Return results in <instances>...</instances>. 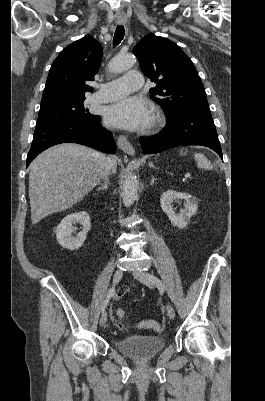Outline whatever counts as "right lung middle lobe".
<instances>
[{
	"instance_id": "obj_1",
	"label": "right lung middle lobe",
	"mask_w": 265,
	"mask_h": 401,
	"mask_svg": "<svg viewBox=\"0 0 265 401\" xmlns=\"http://www.w3.org/2000/svg\"><path fill=\"white\" fill-rule=\"evenodd\" d=\"M85 98H69L41 104L37 123L49 120H91L99 121L100 117L89 113L84 108Z\"/></svg>"
}]
</instances>
